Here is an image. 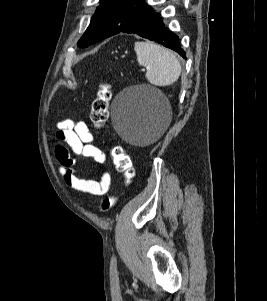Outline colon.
Returning a JSON list of instances; mask_svg holds the SVG:
<instances>
[{
	"label": "colon",
	"instance_id": "5ec220e1",
	"mask_svg": "<svg viewBox=\"0 0 267 301\" xmlns=\"http://www.w3.org/2000/svg\"><path fill=\"white\" fill-rule=\"evenodd\" d=\"M111 96L110 86L102 84L91 104L90 119L94 127L101 128L109 118L108 102ZM111 158L116 169L124 175L125 183L129 184L134 177L135 171L130 156L123 148L115 146L111 149ZM116 203V198H105L101 203V209L107 211Z\"/></svg>",
	"mask_w": 267,
	"mask_h": 301
}]
</instances>
